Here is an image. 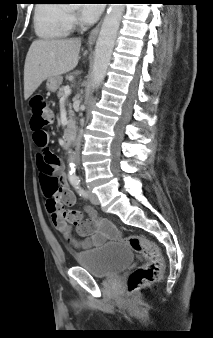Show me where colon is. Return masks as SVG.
<instances>
[{"label": "colon", "mask_w": 213, "mask_h": 338, "mask_svg": "<svg viewBox=\"0 0 213 338\" xmlns=\"http://www.w3.org/2000/svg\"><path fill=\"white\" fill-rule=\"evenodd\" d=\"M30 108L32 111L31 128L33 130L34 143L38 147L44 148L49 141V135L44 128L52 124V112L42 97L33 98L30 102ZM38 170L40 175L46 178L45 189L48 194L46 208L53 221L59 210V204L53 197L57 188V180L54 177L56 169L51 166V159L46 153L39 156ZM67 219L74 224L78 220L77 215L72 211L67 213ZM125 241L144 260L143 264L129 276L127 282L128 290L131 292L137 291L157 282L161 278L163 271V258L158 246L141 235L128 236L125 238Z\"/></svg>", "instance_id": "1"}]
</instances>
